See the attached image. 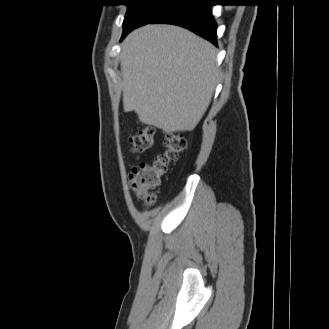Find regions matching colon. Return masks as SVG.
Wrapping results in <instances>:
<instances>
[{"mask_svg":"<svg viewBox=\"0 0 329 329\" xmlns=\"http://www.w3.org/2000/svg\"><path fill=\"white\" fill-rule=\"evenodd\" d=\"M131 149L136 153L146 152L154 147V129L146 126L129 138ZM186 149V140L179 133H167L164 137V151L152 162L141 164L129 176V190L143 206L156 203L154 191L160 187L169 165L176 162Z\"/></svg>","mask_w":329,"mask_h":329,"instance_id":"colon-1","label":"colon"}]
</instances>
